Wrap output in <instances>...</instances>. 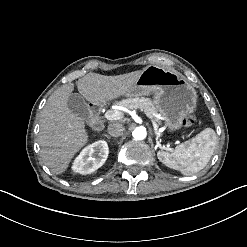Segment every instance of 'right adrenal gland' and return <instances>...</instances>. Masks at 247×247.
Instances as JSON below:
<instances>
[{"instance_id":"1","label":"right adrenal gland","mask_w":247,"mask_h":247,"mask_svg":"<svg viewBox=\"0 0 247 247\" xmlns=\"http://www.w3.org/2000/svg\"><path fill=\"white\" fill-rule=\"evenodd\" d=\"M103 136H105L107 139H111V136L110 135L103 134Z\"/></svg>"}]
</instances>
